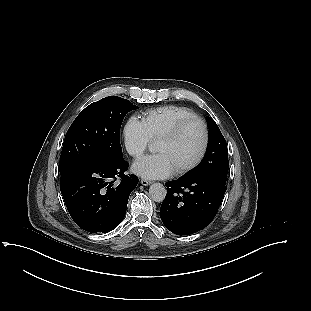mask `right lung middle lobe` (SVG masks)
Masks as SVG:
<instances>
[{
	"mask_svg": "<svg viewBox=\"0 0 311 311\" xmlns=\"http://www.w3.org/2000/svg\"><path fill=\"white\" fill-rule=\"evenodd\" d=\"M138 108L126 99L109 96L81 111L66 133L60 174L89 161L122 159L120 127L125 115Z\"/></svg>",
	"mask_w": 311,
	"mask_h": 311,
	"instance_id": "1",
	"label": "right lung middle lobe"
}]
</instances>
